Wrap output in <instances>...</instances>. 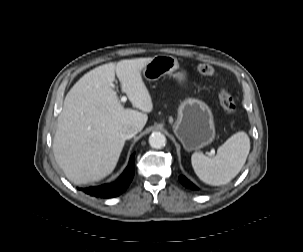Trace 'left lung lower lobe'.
I'll return each mask as SVG.
<instances>
[{"instance_id":"left-lung-lower-lobe-1","label":"left lung lower lobe","mask_w":303,"mask_h":252,"mask_svg":"<svg viewBox=\"0 0 303 252\" xmlns=\"http://www.w3.org/2000/svg\"><path fill=\"white\" fill-rule=\"evenodd\" d=\"M179 180L185 187L193 190L197 189V187L193 183H191L186 177L180 176Z\"/></svg>"}]
</instances>
